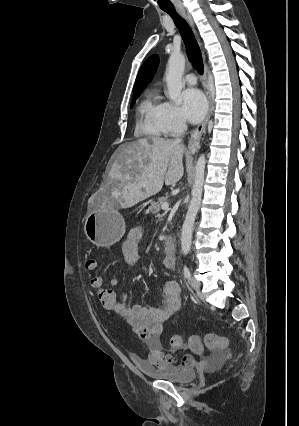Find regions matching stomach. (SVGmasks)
<instances>
[{"label": "stomach", "mask_w": 299, "mask_h": 426, "mask_svg": "<svg viewBox=\"0 0 299 426\" xmlns=\"http://www.w3.org/2000/svg\"><path fill=\"white\" fill-rule=\"evenodd\" d=\"M125 220L114 206H102L86 217L84 231L87 238L98 247H111L125 233Z\"/></svg>", "instance_id": "0dacf381"}]
</instances>
